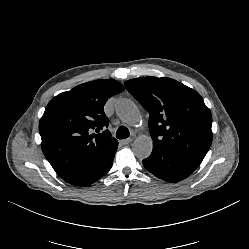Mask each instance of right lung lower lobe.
<instances>
[{
  "mask_svg": "<svg viewBox=\"0 0 249 249\" xmlns=\"http://www.w3.org/2000/svg\"><path fill=\"white\" fill-rule=\"evenodd\" d=\"M117 147L118 142L108 148L90 164L63 177V179L76 186H85L96 182L110 170Z\"/></svg>",
  "mask_w": 249,
  "mask_h": 249,
  "instance_id": "obj_1",
  "label": "right lung lower lobe"
}]
</instances>
